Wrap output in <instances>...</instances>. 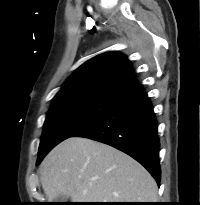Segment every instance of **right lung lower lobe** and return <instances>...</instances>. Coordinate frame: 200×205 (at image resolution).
I'll use <instances>...</instances> for the list:
<instances>
[{
	"label": "right lung lower lobe",
	"mask_w": 200,
	"mask_h": 205,
	"mask_svg": "<svg viewBox=\"0 0 200 205\" xmlns=\"http://www.w3.org/2000/svg\"><path fill=\"white\" fill-rule=\"evenodd\" d=\"M74 136L97 140L125 152L141 163L159 184L157 120L141 85L121 95L108 110Z\"/></svg>",
	"instance_id": "right-lung-lower-lobe-1"
}]
</instances>
